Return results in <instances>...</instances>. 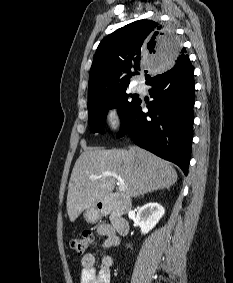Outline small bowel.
I'll use <instances>...</instances> for the list:
<instances>
[{"instance_id": "small-bowel-1", "label": "small bowel", "mask_w": 233, "mask_h": 283, "mask_svg": "<svg viewBox=\"0 0 233 283\" xmlns=\"http://www.w3.org/2000/svg\"><path fill=\"white\" fill-rule=\"evenodd\" d=\"M99 235L105 239L97 245L98 249H108L118 244V238L111 226L102 224L98 227ZM95 254H86L81 259V283H111V271L113 259L111 256H105L102 259L99 271L95 269Z\"/></svg>"}]
</instances>
